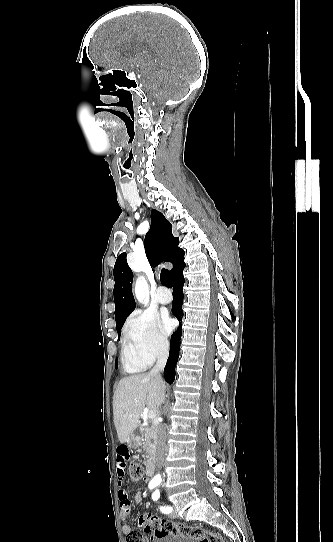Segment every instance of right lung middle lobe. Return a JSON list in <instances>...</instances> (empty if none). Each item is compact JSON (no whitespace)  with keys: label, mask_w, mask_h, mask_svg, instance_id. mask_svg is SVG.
<instances>
[{"label":"right lung middle lobe","mask_w":333,"mask_h":542,"mask_svg":"<svg viewBox=\"0 0 333 542\" xmlns=\"http://www.w3.org/2000/svg\"><path fill=\"white\" fill-rule=\"evenodd\" d=\"M124 323V322H123ZM123 323L121 324V326L119 328H117V332H118V337H120V334H121V328L123 326ZM116 368H117V365H116Z\"/></svg>","instance_id":"1"}]
</instances>
